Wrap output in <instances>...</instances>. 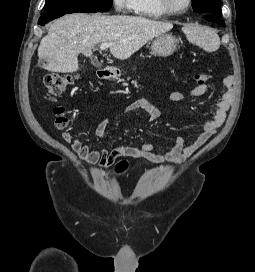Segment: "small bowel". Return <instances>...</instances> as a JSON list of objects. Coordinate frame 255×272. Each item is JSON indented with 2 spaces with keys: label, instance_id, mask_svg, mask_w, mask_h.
I'll list each match as a JSON object with an SVG mask.
<instances>
[{
  "label": "small bowel",
  "instance_id": "obj_1",
  "mask_svg": "<svg viewBox=\"0 0 255 272\" xmlns=\"http://www.w3.org/2000/svg\"><path fill=\"white\" fill-rule=\"evenodd\" d=\"M233 82L234 78L232 75H228L224 78L222 85L219 88L220 96L216 103L215 113L213 117L203 122L202 130L196 138L190 144H186L184 138L178 136L164 154L156 153L155 145L151 143H142L133 146L119 145L112 150L92 149L88 144L83 143L81 140L72 138L68 132H64L62 136L66 142L71 144L73 151H75L83 161L91 165L98 164L100 167H107L118 157L146 159L157 164L180 162L206 144L217 132L218 128L225 122L227 113L232 104ZM207 90V85L197 84L190 89L187 94L172 92L169 95V98L174 102H184L189 98H197L204 95ZM137 110H143L147 114L150 123H154L160 117L159 110L145 101H136L130 104L124 113L129 114ZM110 124V118H105L100 121L95 128V136L99 139L105 138Z\"/></svg>",
  "mask_w": 255,
  "mask_h": 272
}]
</instances>
